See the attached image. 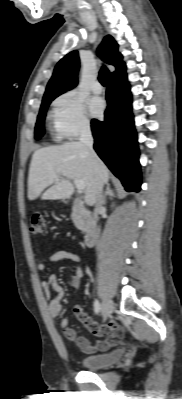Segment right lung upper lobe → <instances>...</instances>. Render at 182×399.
<instances>
[{
	"label": "right lung upper lobe",
	"instance_id": "1",
	"mask_svg": "<svg viewBox=\"0 0 182 399\" xmlns=\"http://www.w3.org/2000/svg\"><path fill=\"white\" fill-rule=\"evenodd\" d=\"M99 53L103 54L104 60L116 67L110 74V78L121 77L126 74V66L122 61V55L118 52V44L111 36L103 40ZM79 69L78 52L72 51L63 57L56 65L53 75L48 82L43 99L53 98L74 88L77 84V73Z\"/></svg>",
	"mask_w": 182,
	"mask_h": 399
}]
</instances>
